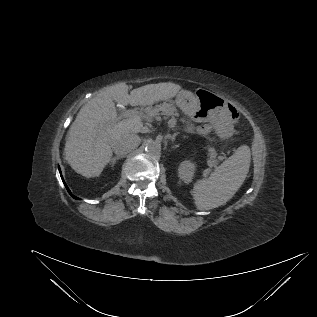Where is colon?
Returning <instances> with one entry per match:
<instances>
[{
  "instance_id": "5ec220e1",
  "label": "colon",
  "mask_w": 317,
  "mask_h": 317,
  "mask_svg": "<svg viewBox=\"0 0 317 317\" xmlns=\"http://www.w3.org/2000/svg\"><path fill=\"white\" fill-rule=\"evenodd\" d=\"M230 113H231V117H232L233 119H236V118H237L238 114H237V111H236L234 108H231V109H230Z\"/></svg>"
}]
</instances>
